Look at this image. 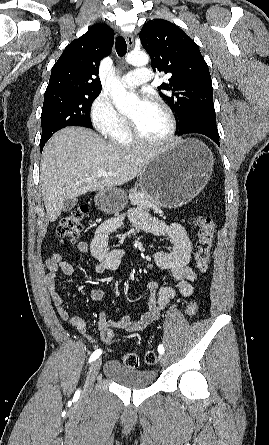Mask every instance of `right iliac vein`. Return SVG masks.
<instances>
[{"label":"right iliac vein","mask_w":269,"mask_h":445,"mask_svg":"<svg viewBox=\"0 0 269 445\" xmlns=\"http://www.w3.org/2000/svg\"><path fill=\"white\" fill-rule=\"evenodd\" d=\"M101 363H102L101 359H97L91 364V366L89 368L88 375H87V379L85 382L83 396H87L91 392L95 377L99 372Z\"/></svg>","instance_id":"obj_1"}]
</instances>
